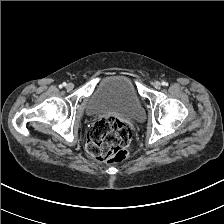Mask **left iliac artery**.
<instances>
[{
	"instance_id": "left-iliac-artery-1",
	"label": "left iliac artery",
	"mask_w": 224,
	"mask_h": 224,
	"mask_svg": "<svg viewBox=\"0 0 224 224\" xmlns=\"http://www.w3.org/2000/svg\"><path fill=\"white\" fill-rule=\"evenodd\" d=\"M162 85H163V86H168V83L165 82V81H163V82H162Z\"/></svg>"
}]
</instances>
